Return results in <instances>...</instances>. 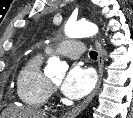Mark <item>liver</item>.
<instances>
[{"mask_svg":"<svg viewBox=\"0 0 133 118\" xmlns=\"http://www.w3.org/2000/svg\"><path fill=\"white\" fill-rule=\"evenodd\" d=\"M9 118H47V114L40 110L32 109V108H19L14 107L6 110L5 114L2 115Z\"/></svg>","mask_w":133,"mask_h":118,"instance_id":"liver-1","label":"liver"}]
</instances>
